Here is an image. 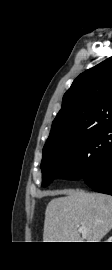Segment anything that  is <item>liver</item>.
<instances>
[{"label":"liver","mask_w":112,"mask_h":270,"mask_svg":"<svg viewBox=\"0 0 112 270\" xmlns=\"http://www.w3.org/2000/svg\"><path fill=\"white\" fill-rule=\"evenodd\" d=\"M52 194L66 196L48 203L43 242H100L112 229V196L73 190ZM82 226L86 233L79 232Z\"/></svg>","instance_id":"obj_1"}]
</instances>
